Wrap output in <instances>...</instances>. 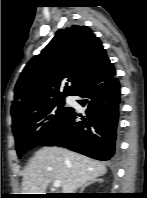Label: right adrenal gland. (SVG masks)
I'll use <instances>...</instances> for the list:
<instances>
[{
    "label": "right adrenal gland",
    "mask_w": 147,
    "mask_h": 198,
    "mask_svg": "<svg viewBox=\"0 0 147 198\" xmlns=\"http://www.w3.org/2000/svg\"><path fill=\"white\" fill-rule=\"evenodd\" d=\"M97 181H98V182H102V179H96V180L89 181V182L85 183V184L81 187L80 193H83L84 189H85L87 186H89V185H91V184H93V183H95V182H97Z\"/></svg>",
    "instance_id": "1"
}]
</instances>
